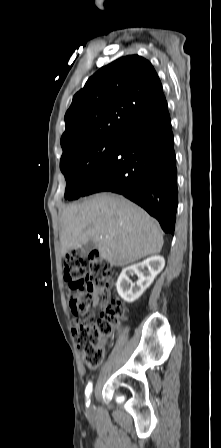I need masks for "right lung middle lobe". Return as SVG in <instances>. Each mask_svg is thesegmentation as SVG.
I'll return each mask as SVG.
<instances>
[{
    "label": "right lung middle lobe",
    "mask_w": 221,
    "mask_h": 448,
    "mask_svg": "<svg viewBox=\"0 0 221 448\" xmlns=\"http://www.w3.org/2000/svg\"><path fill=\"white\" fill-rule=\"evenodd\" d=\"M118 136L82 144L61 157L60 168L67 185L65 199L75 200L83 195L87 185L110 156Z\"/></svg>",
    "instance_id": "obj_1"
}]
</instances>
